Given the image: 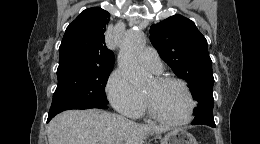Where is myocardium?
Wrapping results in <instances>:
<instances>
[{
    "label": "myocardium",
    "instance_id": "f54148a6",
    "mask_svg": "<svg viewBox=\"0 0 260 144\" xmlns=\"http://www.w3.org/2000/svg\"><path fill=\"white\" fill-rule=\"evenodd\" d=\"M153 82L157 86H162L165 84L173 83V84H177L180 87H182V89L185 91V93L188 97L190 107H189L188 116L185 119L172 120V119L166 118L163 115H161L154 107V105H153L151 99L148 97V95L143 93L145 106H146L147 112L150 115V117H152L153 119H155L159 122L169 124V125H174V126H182V125H186V124L190 123L194 116L196 102L194 100L193 94H192L189 86L187 85V83L179 78L168 77V76H157L153 79Z\"/></svg>",
    "mask_w": 260,
    "mask_h": 144
}]
</instances>
